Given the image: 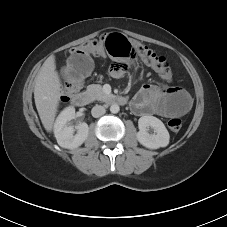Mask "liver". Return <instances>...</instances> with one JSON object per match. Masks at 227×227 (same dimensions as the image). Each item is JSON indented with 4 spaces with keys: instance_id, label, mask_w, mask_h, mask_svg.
<instances>
[{
    "instance_id": "liver-1",
    "label": "liver",
    "mask_w": 227,
    "mask_h": 227,
    "mask_svg": "<svg viewBox=\"0 0 227 227\" xmlns=\"http://www.w3.org/2000/svg\"><path fill=\"white\" fill-rule=\"evenodd\" d=\"M61 86V80L56 71L55 57L50 56L37 74L34 88L35 105L47 132H51L53 129L62 94Z\"/></svg>"
}]
</instances>
